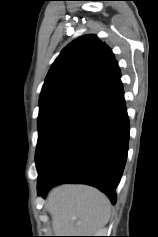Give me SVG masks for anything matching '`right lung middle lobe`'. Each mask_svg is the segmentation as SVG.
<instances>
[{"label": "right lung middle lobe", "mask_w": 158, "mask_h": 237, "mask_svg": "<svg viewBox=\"0 0 158 237\" xmlns=\"http://www.w3.org/2000/svg\"><path fill=\"white\" fill-rule=\"evenodd\" d=\"M80 105H82V103L79 101L67 98L48 100L39 103V138L37 149L45 137Z\"/></svg>", "instance_id": "dd1d6c3e"}]
</instances>
